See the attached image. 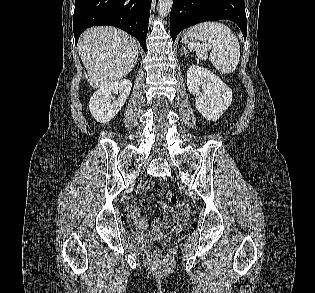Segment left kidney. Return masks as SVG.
Segmentation results:
<instances>
[{
    "label": "left kidney",
    "mask_w": 315,
    "mask_h": 293,
    "mask_svg": "<svg viewBox=\"0 0 315 293\" xmlns=\"http://www.w3.org/2000/svg\"><path fill=\"white\" fill-rule=\"evenodd\" d=\"M187 87L196 95L195 106L199 113L209 121L218 120L232 102V90L214 73L191 66L187 71ZM204 93L201 94L200 90Z\"/></svg>",
    "instance_id": "5707ae66"
}]
</instances>
